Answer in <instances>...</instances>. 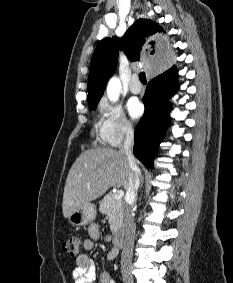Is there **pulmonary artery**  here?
Returning a JSON list of instances; mask_svg holds the SVG:
<instances>
[{
  "mask_svg": "<svg viewBox=\"0 0 233 283\" xmlns=\"http://www.w3.org/2000/svg\"><path fill=\"white\" fill-rule=\"evenodd\" d=\"M129 90L133 94H139L142 91V86L139 82V78L137 74H134L132 76L130 84H129Z\"/></svg>",
  "mask_w": 233,
  "mask_h": 283,
  "instance_id": "pulmonary-artery-1",
  "label": "pulmonary artery"
}]
</instances>
